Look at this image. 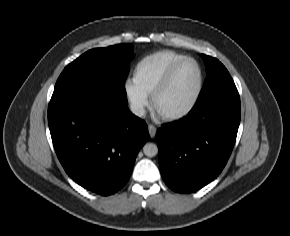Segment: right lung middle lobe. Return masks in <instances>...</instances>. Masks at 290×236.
<instances>
[{
    "label": "right lung middle lobe",
    "instance_id": "dd1d6c3e",
    "mask_svg": "<svg viewBox=\"0 0 290 236\" xmlns=\"http://www.w3.org/2000/svg\"><path fill=\"white\" fill-rule=\"evenodd\" d=\"M132 58V44L87 51L65 67L56 82L51 99H126L125 80L128 62Z\"/></svg>",
    "mask_w": 290,
    "mask_h": 236
}]
</instances>
